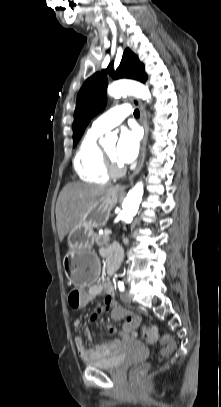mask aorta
Wrapping results in <instances>:
<instances>
[{
    "instance_id": "762f6f07",
    "label": "aorta",
    "mask_w": 221,
    "mask_h": 407,
    "mask_svg": "<svg viewBox=\"0 0 221 407\" xmlns=\"http://www.w3.org/2000/svg\"><path fill=\"white\" fill-rule=\"evenodd\" d=\"M108 95L118 98L122 95L131 94L143 100L149 101L151 99V93L149 88L139 82L120 80L112 83L107 90ZM144 192L143 183L138 182L132 189L129 190L126 198L122 204V211L120 217L125 223L132 221L136 215L139 205L142 200Z\"/></svg>"
}]
</instances>
